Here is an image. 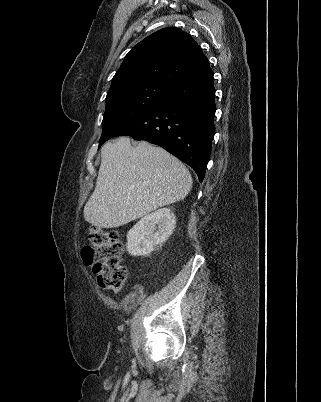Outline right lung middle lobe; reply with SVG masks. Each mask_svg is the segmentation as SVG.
<instances>
[{
  "label": "right lung middle lobe",
  "mask_w": 321,
  "mask_h": 402,
  "mask_svg": "<svg viewBox=\"0 0 321 402\" xmlns=\"http://www.w3.org/2000/svg\"><path fill=\"white\" fill-rule=\"evenodd\" d=\"M169 88L168 85L150 83L108 95L99 147L155 108L167 97Z\"/></svg>",
  "instance_id": "dd1d6c3e"
}]
</instances>
